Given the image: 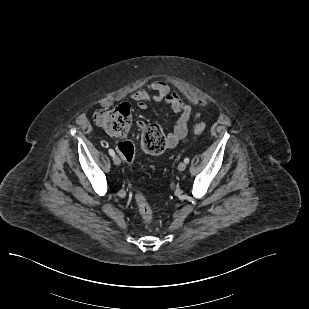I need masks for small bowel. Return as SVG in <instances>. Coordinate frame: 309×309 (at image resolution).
Listing matches in <instances>:
<instances>
[{
    "label": "small bowel",
    "instance_id": "obj_1",
    "mask_svg": "<svg viewBox=\"0 0 309 309\" xmlns=\"http://www.w3.org/2000/svg\"><path fill=\"white\" fill-rule=\"evenodd\" d=\"M131 98L141 110H145L149 102L155 101L166 103L174 113L178 114L173 131L167 136L169 148L175 147L179 141L186 137L189 122L198 116L191 106L185 103L167 83L160 80L152 81L145 87L135 90L131 94ZM140 124L144 123L140 122Z\"/></svg>",
    "mask_w": 309,
    "mask_h": 309
}]
</instances>
